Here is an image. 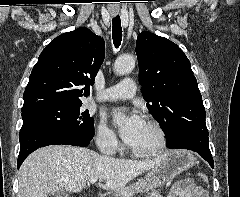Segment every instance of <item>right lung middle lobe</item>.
<instances>
[{"instance_id": "dd1d6c3e", "label": "right lung middle lobe", "mask_w": 240, "mask_h": 197, "mask_svg": "<svg viewBox=\"0 0 240 197\" xmlns=\"http://www.w3.org/2000/svg\"><path fill=\"white\" fill-rule=\"evenodd\" d=\"M82 103H50L22 110L23 121H43L71 130L83 139L94 136V119L82 111Z\"/></svg>"}]
</instances>
